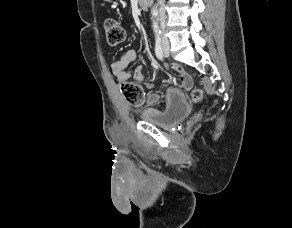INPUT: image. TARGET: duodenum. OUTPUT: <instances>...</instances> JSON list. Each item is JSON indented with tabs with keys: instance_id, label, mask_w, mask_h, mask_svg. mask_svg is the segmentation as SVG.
Segmentation results:
<instances>
[{
	"instance_id": "410a0bca",
	"label": "duodenum",
	"mask_w": 292,
	"mask_h": 228,
	"mask_svg": "<svg viewBox=\"0 0 292 228\" xmlns=\"http://www.w3.org/2000/svg\"><path fill=\"white\" fill-rule=\"evenodd\" d=\"M153 0H138L139 6L142 9H147L152 5Z\"/></svg>"
}]
</instances>
